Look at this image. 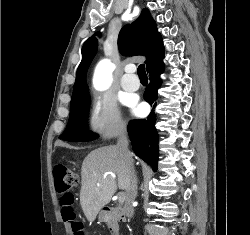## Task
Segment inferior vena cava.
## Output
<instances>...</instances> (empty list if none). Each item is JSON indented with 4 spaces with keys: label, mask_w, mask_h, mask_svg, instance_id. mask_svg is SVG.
<instances>
[{
    "label": "inferior vena cava",
    "mask_w": 250,
    "mask_h": 235,
    "mask_svg": "<svg viewBox=\"0 0 250 235\" xmlns=\"http://www.w3.org/2000/svg\"><path fill=\"white\" fill-rule=\"evenodd\" d=\"M128 145L129 143L127 139L126 128L123 127L119 134L116 149L120 159L126 166L130 177V183L127 189V197L124 205V211L127 217H132L134 214L132 204L137 194V177L134 170L133 158L128 149Z\"/></svg>",
    "instance_id": "602c4592"
}]
</instances>
